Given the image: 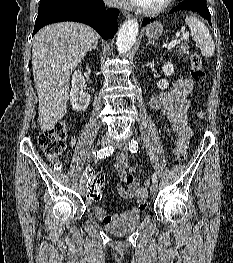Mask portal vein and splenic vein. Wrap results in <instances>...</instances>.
<instances>
[{
  "label": "portal vein and splenic vein",
  "mask_w": 233,
  "mask_h": 263,
  "mask_svg": "<svg viewBox=\"0 0 233 263\" xmlns=\"http://www.w3.org/2000/svg\"><path fill=\"white\" fill-rule=\"evenodd\" d=\"M189 38V34L188 33H183L180 35V39H175L173 41H171L168 44V49H171L172 47L176 46L177 44H179L181 41H186Z\"/></svg>",
  "instance_id": "18ae733b"
}]
</instances>
